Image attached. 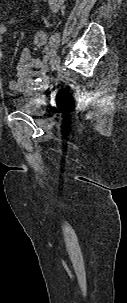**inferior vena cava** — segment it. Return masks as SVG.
Returning a JSON list of instances; mask_svg holds the SVG:
<instances>
[{
    "label": "inferior vena cava",
    "mask_w": 127,
    "mask_h": 303,
    "mask_svg": "<svg viewBox=\"0 0 127 303\" xmlns=\"http://www.w3.org/2000/svg\"><path fill=\"white\" fill-rule=\"evenodd\" d=\"M64 0H49V6L52 12L56 13L62 7Z\"/></svg>",
    "instance_id": "inferior-vena-cava-1"
}]
</instances>
